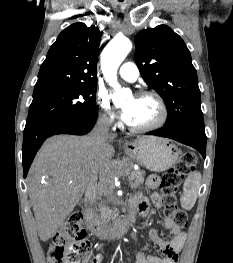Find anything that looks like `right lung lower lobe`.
Instances as JSON below:
<instances>
[{
    "label": "right lung lower lobe",
    "mask_w": 233,
    "mask_h": 263,
    "mask_svg": "<svg viewBox=\"0 0 233 263\" xmlns=\"http://www.w3.org/2000/svg\"><path fill=\"white\" fill-rule=\"evenodd\" d=\"M97 120V111L68 118L54 119L27 129L23 138V169L26 177L29 167L44 140L55 134L83 135L88 133Z\"/></svg>",
    "instance_id": "right-lung-lower-lobe-1"
}]
</instances>
